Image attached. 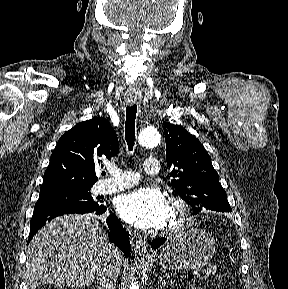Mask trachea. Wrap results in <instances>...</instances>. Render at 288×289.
Wrapping results in <instances>:
<instances>
[{
	"instance_id": "3493384b",
	"label": "trachea",
	"mask_w": 288,
	"mask_h": 289,
	"mask_svg": "<svg viewBox=\"0 0 288 289\" xmlns=\"http://www.w3.org/2000/svg\"><path fill=\"white\" fill-rule=\"evenodd\" d=\"M137 113V106H127L126 108V122H125V140L129 151L133 150L135 144V119Z\"/></svg>"
}]
</instances>
